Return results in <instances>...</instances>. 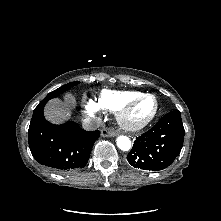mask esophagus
<instances>
[{"instance_id": "esophagus-1", "label": "esophagus", "mask_w": 221, "mask_h": 221, "mask_svg": "<svg viewBox=\"0 0 221 221\" xmlns=\"http://www.w3.org/2000/svg\"><path fill=\"white\" fill-rule=\"evenodd\" d=\"M101 135L103 137H114L116 135V133L110 129L104 128L101 130Z\"/></svg>"}]
</instances>
